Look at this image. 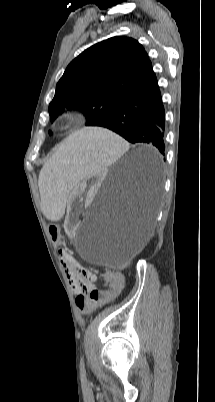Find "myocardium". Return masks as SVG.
<instances>
[{"label": "myocardium", "instance_id": "myocardium-1", "mask_svg": "<svg viewBox=\"0 0 215 402\" xmlns=\"http://www.w3.org/2000/svg\"><path fill=\"white\" fill-rule=\"evenodd\" d=\"M69 122H70V117L68 115L64 114L59 118L58 123H59V126L61 129H66L69 125Z\"/></svg>", "mask_w": 215, "mask_h": 402}]
</instances>
